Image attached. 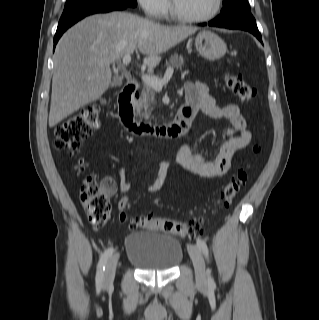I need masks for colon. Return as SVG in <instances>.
I'll return each mask as SVG.
<instances>
[{
    "instance_id": "colon-1",
    "label": "colon",
    "mask_w": 319,
    "mask_h": 320,
    "mask_svg": "<svg viewBox=\"0 0 319 320\" xmlns=\"http://www.w3.org/2000/svg\"><path fill=\"white\" fill-rule=\"evenodd\" d=\"M225 83L228 89L243 101L251 100L256 94L255 88L239 76L227 75ZM104 102L101 100L85 105L79 112L58 126L55 131V147L73 153L82 140L91 136L100 127L101 108ZM253 151L258 153L260 147L255 146ZM79 167L81 169L85 167L82 160H79ZM247 180L248 173L244 170L239 171L219 193V202L225 207L229 206L235 195L246 185ZM114 191L115 183L110 178H104L99 185H95L91 179L87 180L81 188L80 199L93 225L102 226L109 221L111 212L109 196ZM119 217L121 221H125V212H120ZM130 226L181 237H193L202 230L200 222H185L154 215L137 216L132 220Z\"/></svg>"
}]
</instances>
